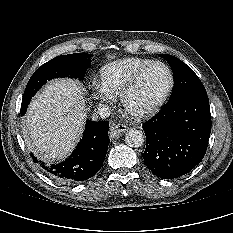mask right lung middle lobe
I'll use <instances>...</instances> for the list:
<instances>
[{
  "label": "right lung middle lobe",
  "mask_w": 233,
  "mask_h": 233,
  "mask_svg": "<svg viewBox=\"0 0 233 233\" xmlns=\"http://www.w3.org/2000/svg\"><path fill=\"white\" fill-rule=\"evenodd\" d=\"M91 54L75 53L57 56L39 67L31 76L23 101H30L34 94L49 80L57 77L82 80L91 64Z\"/></svg>",
  "instance_id": "obj_1"
}]
</instances>
